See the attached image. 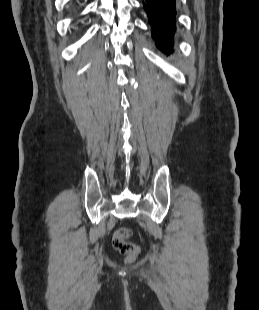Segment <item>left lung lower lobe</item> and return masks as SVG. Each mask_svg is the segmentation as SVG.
<instances>
[{
    "label": "left lung lower lobe",
    "mask_w": 259,
    "mask_h": 310,
    "mask_svg": "<svg viewBox=\"0 0 259 310\" xmlns=\"http://www.w3.org/2000/svg\"><path fill=\"white\" fill-rule=\"evenodd\" d=\"M143 4L157 47L166 55L171 53L176 29L175 0H145Z\"/></svg>",
    "instance_id": "0a47b994"
}]
</instances>
